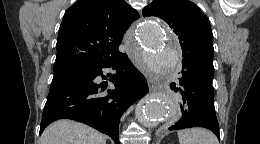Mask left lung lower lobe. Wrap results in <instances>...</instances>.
I'll return each instance as SVG.
<instances>
[{
	"mask_svg": "<svg viewBox=\"0 0 260 144\" xmlns=\"http://www.w3.org/2000/svg\"><path fill=\"white\" fill-rule=\"evenodd\" d=\"M182 76L176 107V121L169 130H179L189 127H204L212 130L218 139L219 124L214 108L213 74L189 63H182ZM175 88V84L171 85Z\"/></svg>",
	"mask_w": 260,
	"mask_h": 144,
	"instance_id": "0a47b994",
	"label": "left lung lower lobe"
}]
</instances>
